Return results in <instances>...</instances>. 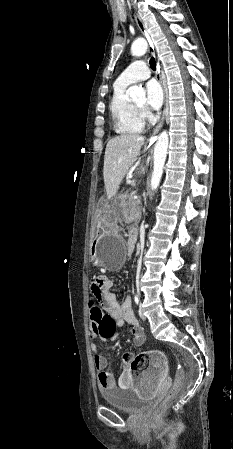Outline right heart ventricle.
<instances>
[{
  "label": "right heart ventricle",
  "instance_id": "right-heart-ventricle-1",
  "mask_svg": "<svg viewBox=\"0 0 233 449\" xmlns=\"http://www.w3.org/2000/svg\"><path fill=\"white\" fill-rule=\"evenodd\" d=\"M127 87L115 82L109 105L114 130L120 135L139 134L145 128L144 116L127 97Z\"/></svg>",
  "mask_w": 233,
  "mask_h": 449
}]
</instances>
